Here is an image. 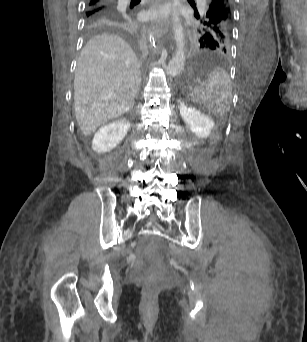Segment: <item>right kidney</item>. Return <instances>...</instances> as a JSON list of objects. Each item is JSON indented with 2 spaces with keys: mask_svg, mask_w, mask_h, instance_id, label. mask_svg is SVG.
Returning a JSON list of instances; mask_svg holds the SVG:
<instances>
[{
  "mask_svg": "<svg viewBox=\"0 0 307 342\" xmlns=\"http://www.w3.org/2000/svg\"><path fill=\"white\" fill-rule=\"evenodd\" d=\"M129 128L128 120H116V122H111V124L99 128L92 142L94 152L103 154V152H110V150L116 148L125 138Z\"/></svg>",
  "mask_w": 307,
  "mask_h": 342,
  "instance_id": "1",
  "label": "right kidney"
}]
</instances>
